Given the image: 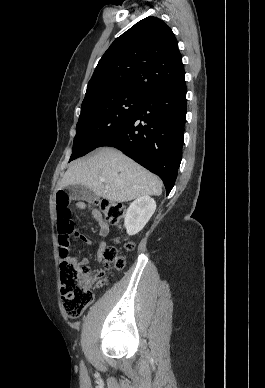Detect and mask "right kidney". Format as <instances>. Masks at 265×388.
<instances>
[{
    "label": "right kidney",
    "mask_w": 265,
    "mask_h": 388,
    "mask_svg": "<svg viewBox=\"0 0 265 388\" xmlns=\"http://www.w3.org/2000/svg\"><path fill=\"white\" fill-rule=\"evenodd\" d=\"M156 210V202L150 196H140L130 204L126 216L124 226L129 236H135L141 232L142 228L149 222Z\"/></svg>",
    "instance_id": "1"
}]
</instances>
